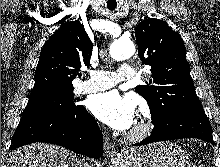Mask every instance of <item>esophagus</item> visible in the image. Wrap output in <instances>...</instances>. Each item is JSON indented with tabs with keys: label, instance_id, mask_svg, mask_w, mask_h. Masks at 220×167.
Wrapping results in <instances>:
<instances>
[{
	"label": "esophagus",
	"instance_id": "obj_1",
	"mask_svg": "<svg viewBox=\"0 0 220 167\" xmlns=\"http://www.w3.org/2000/svg\"><path fill=\"white\" fill-rule=\"evenodd\" d=\"M104 155L109 158H116L117 156L115 146L109 137L104 140Z\"/></svg>",
	"mask_w": 220,
	"mask_h": 167
}]
</instances>
